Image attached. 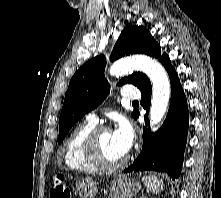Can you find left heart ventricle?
<instances>
[{
	"mask_svg": "<svg viewBox=\"0 0 221 198\" xmlns=\"http://www.w3.org/2000/svg\"><path fill=\"white\" fill-rule=\"evenodd\" d=\"M100 148L104 158L109 162L119 161L125 156L115 145L111 131L104 132L100 136Z\"/></svg>",
	"mask_w": 221,
	"mask_h": 198,
	"instance_id": "obj_1",
	"label": "left heart ventricle"
}]
</instances>
